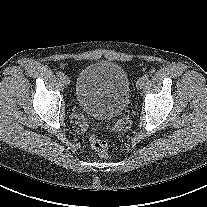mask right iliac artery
Here are the masks:
<instances>
[{
	"mask_svg": "<svg viewBox=\"0 0 207 207\" xmlns=\"http://www.w3.org/2000/svg\"><path fill=\"white\" fill-rule=\"evenodd\" d=\"M63 75H64V73H63V72H61V71H58V72H57V76H58V77H60V78H61Z\"/></svg>",
	"mask_w": 207,
	"mask_h": 207,
	"instance_id": "82829eb1",
	"label": "right iliac artery"
}]
</instances>
